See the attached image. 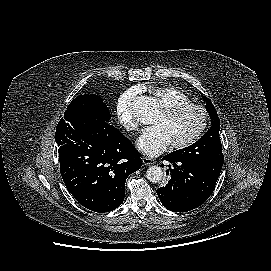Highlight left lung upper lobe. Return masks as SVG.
Listing matches in <instances>:
<instances>
[{
  "instance_id": "obj_1",
  "label": "left lung upper lobe",
  "mask_w": 271,
  "mask_h": 271,
  "mask_svg": "<svg viewBox=\"0 0 271 271\" xmlns=\"http://www.w3.org/2000/svg\"><path fill=\"white\" fill-rule=\"evenodd\" d=\"M206 110L211 118V128L192 145L172 152L180 160L198 164L209 172L219 175L223 166L224 156L219 135L220 120L212 102L203 97Z\"/></svg>"
}]
</instances>
